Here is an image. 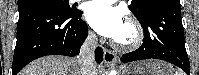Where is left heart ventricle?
<instances>
[{"mask_svg": "<svg viewBox=\"0 0 199 75\" xmlns=\"http://www.w3.org/2000/svg\"><path fill=\"white\" fill-rule=\"evenodd\" d=\"M130 37H131V31L126 26V28H125L124 32L122 33V35L120 36L119 40L126 41V40L130 39Z\"/></svg>", "mask_w": 199, "mask_h": 75, "instance_id": "obj_1", "label": "left heart ventricle"}]
</instances>
